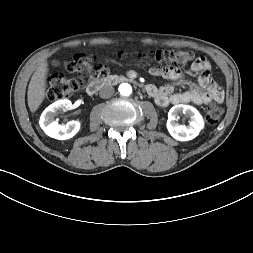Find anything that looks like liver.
I'll list each match as a JSON object with an SVG mask.
<instances>
[{"label": "liver", "mask_w": 253, "mask_h": 253, "mask_svg": "<svg viewBox=\"0 0 253 253\" xmlns=\"http://www.w3.org/2000/svg\"><path fill=\"white\" fill-rule=\"evenodd\" d=\"M47 75L48 63L44 61L32 75L28 86L27 98L31 112H35L39 108L46 96Z\"/></svg>", "instance_id": "1"}]
</instances>
